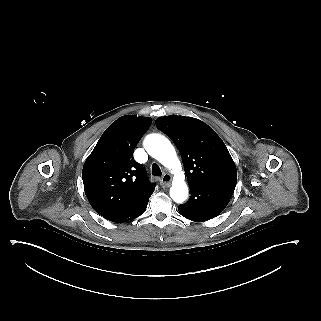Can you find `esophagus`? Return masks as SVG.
Masks as SVG:
<instances>
[{
	"instance_id": "1",
	"label": "esophagus",
	"mask_w": 321,
	"mask_h": 321,
	"mask_svg": "<svg viewBox=\"0 0 321 321\" xmlns=\"http://www.w3.org/2000/svg\"><path fill=\"white\" fill-rule=\"evenodd\" d=\"M171 181H172V176H171L170 174L166 173V174L162 177V179H161V181H160V185H161V187H163V188H167V187H169V186L171 185Z\"/></svg>"
}]
</instances>
